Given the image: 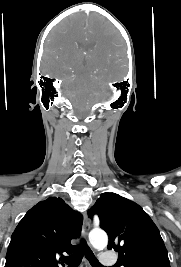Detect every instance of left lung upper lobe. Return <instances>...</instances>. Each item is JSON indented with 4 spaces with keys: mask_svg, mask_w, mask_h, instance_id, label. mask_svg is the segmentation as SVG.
I'll list each match as a JSON object with an SVG mask.
<instances>
[{
    "mask_svg": "<svg viewBox=\"0 0 181 267\" xmlns=\"http://www.w3.org/2000/svg\"><path fill=\"white\" fill-rule=\"evenodd\" d=\"M97 214L109 236L108 249L119 252L115 267H170L160 232L135 202L116 193H103L88 211Z\"/></svg>",
    "mask_w": 181,
    "mask_h": 267,
    "instance_id": "5c2ea615",
    "label": "left lung upper lobe"
}]
</instances>
